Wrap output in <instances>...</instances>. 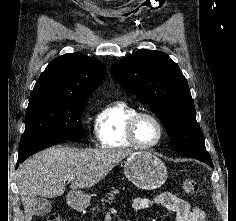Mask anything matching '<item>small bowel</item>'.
I'll list each match as a JSON object with an SVG mask.
<instances>
[{
  "label": "small bowel",
  "mask_w": 236,
  "mask_h": 221,
  "mask_svg": "<svg viewBox=\"0 0 236 221\" xmlns=\"http://www.w3.org/2000/svg\"><path fill=\"white\" fill-rule=\"evenodd\" d=\"M153 205H159L174 212L177 221H207L206 214L201 208H192L186 200L172 193L165 192L154 199L137 197L132 201V208L137 212Z\"/></svg>",
  "instance_id": "1"
}]
</instances>
